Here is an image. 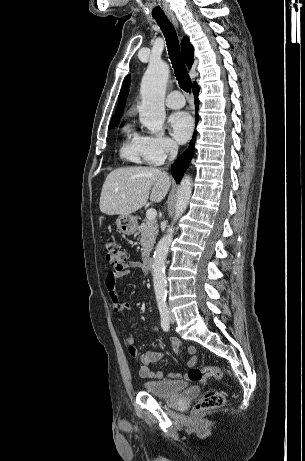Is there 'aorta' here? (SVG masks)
<instances>
[{
	"mask_svg": "<svg viewBox=\"0 0 305 461\" xmlns=\"http://www.w3.org/2000/svg\"><path fill=\"white\" fill-rule=\"evenodd\" d=\"M169 76V66L163 61H151L141 82L142 103L139 108L140 122L149 131L159 133L165 121L164 97ZM192 193V178L183 177L177 190L175 215L172 226L158 242L153 260V286L157 297L166 295L165 260L173 239L175 228L173 224L186 210Z\"/></svg>",
	"mask_w": 305,
	"mask_h": 461,
	"instance_id": "aorta-1",
	"label": "aorta"
}]
</instances>
